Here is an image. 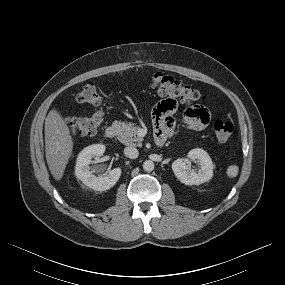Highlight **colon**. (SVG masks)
Here are the masks:
<instances>
[{"label":"colon","instance_id":"colon-1","mask_svg":"<svg viewBox=\"0 0 285 285\" xmlns=\"http://www.w3.org/2000/svg\"><path fill=\"white\" fill-rule=\"evenodd\" d=\"M153 88L159 95H172L182 103H194L203 99L202 93L189 85L174 79L173 77L155 74L152 79ZM79 103L99 106L101 98L93 83H86L76 95ZM68 127L73 134L90 136L95 134L103 122V113L98 110L87 117H70L66 120ZM216 141L224 143L230 139L234 132V125L229 121L217 120L212 127Z\"/></svg>","mask_w":285,"mask_h":285}]
</instances>
